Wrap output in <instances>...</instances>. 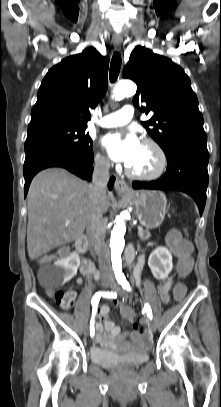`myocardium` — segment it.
<instances>
[{
  "mask_svg": "<svg viewBox=\"0 0 221 407\" xmlns=\"http://www.w3.org/2000/svg\"><path fill=\"white\" fill-rule=\"evenodd\" d=\"M142 144L149 145L155 149L157 152L159 159H160V165L158 169L150 174H140L135 171H133L129 166L126 167V173L128 176L131 178L137 179V180H143V181H152L156 180L164 175V173L167 170L168 167V157L163 149V147L155 140L146 138L142 140Z\"/></svg>",
  "mask_w": 221,
  "mask_h": 407,
  "instance_id": "f54148a6",
  "label": "myocardium"
}]
</instances>
